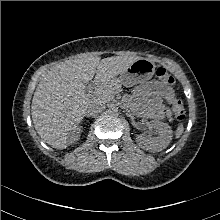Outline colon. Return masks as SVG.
<instances>
[{"mask_svg":"<svg viewBox=\"0 0 220 220\" xmlns=\"http://www.w3.org/2000/svg\"><path fill=\"white\" fill-rule=\"evenodd\" d=\"M156 76L163 85L172 89L171 86L174 84V78L166 71V69L162 67L158 68L156 70ZM166 99L170 103L176 119L178 121H183L185 119V109L182 101L175 96L174 92L170 93Z\"/></svg>","mask_w":220,"mask_h":220,"instance_id":"1","label":"colon"}]
</instances>
